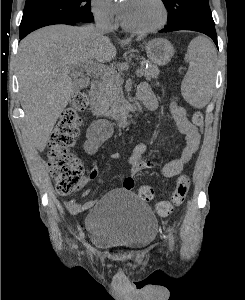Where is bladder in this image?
Segmentation results:
<instances>
[{"mask_svg":"<svg viewBox=\"0 0 245 300\" xmlns=\"http://www.w3.org/2000/svg\"><path fill=\"white\" fill-rule=\"evenodd\" d=\"M90 241L103 248L138 249L151 243L157 218L148 204L124 189L106 193L86 215Z\"/></svg>","mask_w":245,"mask_h":300,"instance_id":"bladder-1","label":"bladder"}]
</instances>
